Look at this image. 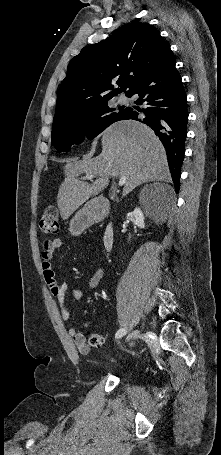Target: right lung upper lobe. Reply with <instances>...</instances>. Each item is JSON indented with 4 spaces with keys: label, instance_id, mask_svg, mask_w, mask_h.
<instances>
[{
    "label": "right lung upper lobe",
    "instance_id": "right-lung-upper-lobe-1",
    "mask_svg": "<svg viewBox=\"0 0 221 455\" xmlns=\"http://www.w3.org/2000/svg\"><path fill=\"white\" fill-rule=\"evenodd\" d=\"M169 49L158 30L141 22L129 23L104 41L84 47L68 65L53 123L108 101L120 92L129 96ZM115 83L120 88L114 89Z\"/></svg>",
    "mask_w": 221,
    "mask_h": 455
}]
</instances>
